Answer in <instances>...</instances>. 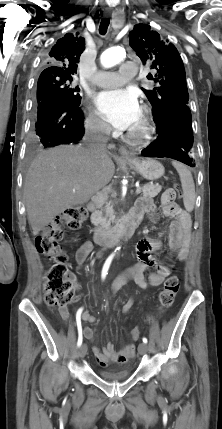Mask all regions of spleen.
I'll return each mask as SVG.
<instances>
[{
    "instance_id": "obj_1",
    "label": "spleen",
    "mask_w": 222,
    "mask_h": 429,
    "mask_svg": "<svg viewBox=\"0 0 222 429\" xmlns=\"http://www.w3.org/2000/svg\"><path fill=\"white\" fill-rule=\"evenodd\" d=\"M172 165L177 170L180 176V181L183 189L184 207L188 212H191L194 209L196 199L195 185L192 174L187 169V167L180 162L172 161Z\"/></svg>"
}]
</instances>
